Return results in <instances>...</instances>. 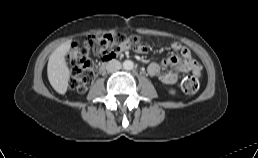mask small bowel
<instances>
[{"mask_svg":"<svg viewBox=\"0 0 258 158\" xmlns=\"http://www.w3.org/2000/svg\"><path fill=\"white\" fill-rule=\"evenodd\" d=\"M171 48L179 52L180 56H169L162 63H151L147 72L150 76L156 77L162 84L172 85L178 80V74L182 72H191L194 76L200 77L202 74L201 65L196 62L192 56L190 50L183 46L179 42L171 44ZM138 53H146L148 47L146 45H139L135 48ZM162 67H171L173 70L161 73Z\"/></svg>","mask_w":258,"mask_h":158,"instance_id":"small-bowel-1","label":"small bowel"}]
</instances>
